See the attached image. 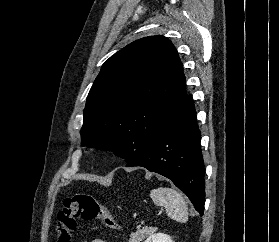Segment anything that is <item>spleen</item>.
I'll list each match as a JSON object with an SVG mask.
<instances>
[{
	"mask_svg": "<svg viewBox=\"0 0 279 242\" xmlns=\"http://www.w3.org/2000/svg\"><path fill=\"white\" fill-rule=\"evenodd\" d=\"M154 204L165 207L169 217L184 223L188 220V206L182 194L167 187H158L150 191Z\"/></svg>",
	"mask_w": 279,
	"mask_h": 242,
	"instance_id": "obj_1",
	"label": "spleen"
}]
</instances>
